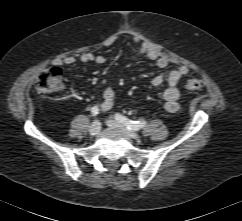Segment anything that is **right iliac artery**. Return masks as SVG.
I'll return each mask as SVG.
<instances>
[{"mask_svg":"<svg viewBox=\"0 0 242 221\" xmlns=\"http://www.w3.org/2000/svg\"><path fill=\"white\" fill-rule=\"evenodd\" d=\"M91 113L93 116H96L99 113V108L98 106H94L91 108Z\"/></svg>","mask_w":242,"mask_h":221,"instance_id":"obj_1","label":"right iliac artery"}]
</instances>
